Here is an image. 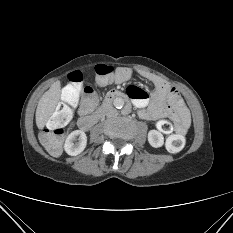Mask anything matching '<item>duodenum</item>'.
<instances>
[{
  "label": "duodenum",
  "mask_w": 233,
  "mask_h": 233,
  "mask_svg": "<svg viewBox=\"0 0 233 233\" xmlns=\"http://www.w3.org/2000/svg\"><path fill=\"white\" fill-rule=\"evenodd\" d=\"M127 95L121 91H112L110 92L102 106L100 107L99 110H97L95 113L91 114V115H86L83 116L79 119L78 121V126L80 129L82 130H89L104 114V112L106 111V109L108 108V106L117 99H126Z\"/></svg>",
  "instance_id": "1"
}]
</instances>
